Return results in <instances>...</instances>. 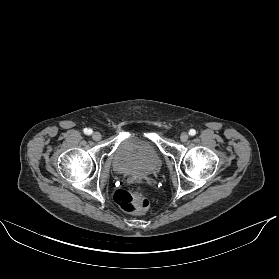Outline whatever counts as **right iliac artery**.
Instances as JSON below:
<instances>
[{"instance_id":"obj_1","label":"right iliac artery","mask_w":279,"mask_h":279,"mask_svg":"<svg viewBox=\"0 0 279 279\" xmlns=\"http://www.w3.org/2000/svg\"><path fill=\"white\" fill-rule=\"evenodd\" d=\"M83 131H84V133L87 134V135H90V134H92V132H93L91 129H88V128H85Z\"/></svg>"}]
</instances>
